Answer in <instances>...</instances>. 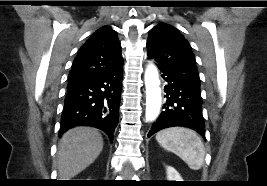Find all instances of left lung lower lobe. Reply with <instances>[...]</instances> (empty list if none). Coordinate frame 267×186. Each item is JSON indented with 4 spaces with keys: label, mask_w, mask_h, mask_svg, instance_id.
Here are the masks:
<instances>
[{
    "label": "left lung lower lobe",
    "mask_w": 267,
    "mask_h": 186,
    "mask_svg": "<svg viewBox=\"0 0 267 186\" xmlns=\"http://www.w3.org/2000/svg\"><path fill=\"white\" fill-rule=\"evenodd\" d=\"M159 69L167 83L164 87L166 103L153 123L148 137L164 128L181 126L194 129L205 138L200 86L169 69L160 67Z\"/></svg>",
    "instance_id": "0a47b994"
}]
</instances>
